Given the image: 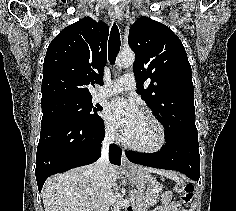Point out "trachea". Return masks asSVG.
<instances>
[{
	"instance_id": "obj_1",
	"label": "trachea",
	"mask_w": 236,
	"mask_h": 211,
	"mask_svg": "<svg viewBox=\"0 0 236 211\" xmlns=\"http://www.w3.org/2000/svg\"><path fill=\"white\" fill-rule=\"evenodd\" d=\"M120 46L121 39L119 29L116 24H113L108 41V59L111 64H114L115 59L120 51Z\"/></svg>"
}]
</instances>
